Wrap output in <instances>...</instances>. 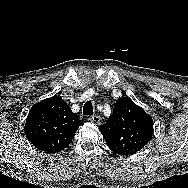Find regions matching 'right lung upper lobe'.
I'll list each match as a JSON object with an SVG mask.
<instances>
[{
	"mask_svg": "<svg viewBox=\"0 0 188 188\" xmlns=\"http://www.w3.org/2000/svg\"><path fill=\"white\" fill-rule=\"evenodd\" d=\"M80 125L78 115L60 96L55 95L30 109L25 134L39 150L56 153L69 145Z\"/></svg>",
	"mask_w": 188,
	"mask_h": 188,
	"instance_id": "1",
	"label": "right lung upper lobe"
}]
</instances>
